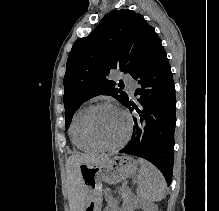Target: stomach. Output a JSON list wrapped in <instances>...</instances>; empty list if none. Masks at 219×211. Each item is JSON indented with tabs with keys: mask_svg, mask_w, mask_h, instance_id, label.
Masks as SVG:
<instances>
[{
	"mask_svg": "<svg viewBox=\"0 0 219 211\" xmlns=\"http://www.w3.org/2000/svg\"><path fill=\"white\" fill-rule=\"evenodd\" d=\"M137 161L132 157L114 155L99 164H80L79 173L87 190V202L83 211H98L101 198L98 194L101 182L116 184L134 174Z\"/></svg>",
	"mask_w": 219,
	"mask_h": 211,
	"instance_id": "obj_1",
	"label": "stomach"
}]
</instances>
